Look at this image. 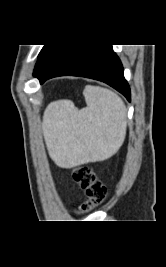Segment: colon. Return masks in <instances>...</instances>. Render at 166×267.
Wrapping results in <instances>:
<instances>
[{
  "mask_svg": "<svg viewBox=\"0 0 166 267\" xmlns=\"http://www.w3.org/2000/svg\"><path fill=\"white\" fill-rule=\"evenodd\" d=\"M72 177L86 196V200L76 210L78 214H85L105 201L106 187L92 168L88 166L77 167L73 170Z\"/></svg>",
  "mask_w": 166,
  "mask_h": 267,
  "instance_id": "5ec220e1",
  "label": "colon"
}]
</instances>
